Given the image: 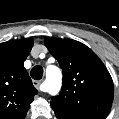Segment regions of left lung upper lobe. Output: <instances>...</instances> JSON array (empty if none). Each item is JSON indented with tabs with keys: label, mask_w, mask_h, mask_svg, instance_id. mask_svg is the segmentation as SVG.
Returning a JSON list of instances; mask_svg holds the SVG:
<instances>
[{
	"label": "left lung upper lobe",
	"mask_w": 119,
	"mask_h": 119,
	"mask_svg": "<svg viewBox=\"0 0 119 119\" xmlns=\"http://www.w3.org/2000/svg\"><path fill=\"white\" fill-rule=\"evenodd\" d=\"M44 43L63 71L62 90L51 101L55 114L105 119L112 106L114 86L99 57L72 39L49 37Z\"/></svg>",
	"instance_id": "5c2ea615"
}]
</instances>
